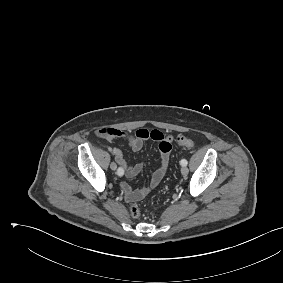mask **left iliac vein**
Segmentation results:
<instances>
[{"instance_id":"left-iliac-vein-1","label":"left iliac vein","mask_w":283,"mask_h":283,"mask_svg":"<svg viewBox=\"0 0 283 283\" xmlns=\"http://www.w3.org/2000/svg\"><path fill=\"white\" fill-rule=\"evenodd\" d=\"M188 172H189V170H188V168H187L186 166H183V167L181 168V173H182V175H187Z\"/></svg>"}]
</instances>
